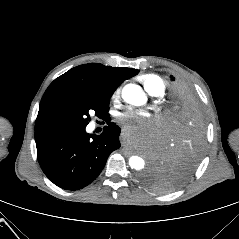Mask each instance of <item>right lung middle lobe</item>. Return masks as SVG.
I'll use <instances>...</instances> for the list:
<instances>
[{"instance_id": "1", "label": "right lung middle lobe", "mask_w": 239, "mask_h": 239, "mask_svg": "<svg viewBox=\"0 0 239 239\" xmlns=\"http://www.w3.org/2000/svg\"><path fill=\"white\" fill-rule=\"evenodd\" d=\"M110 97L89 95L51 105L38 113L35 131L87 126L91 113L97 116L107 113Z\"/></svg>"}]
</instances>
